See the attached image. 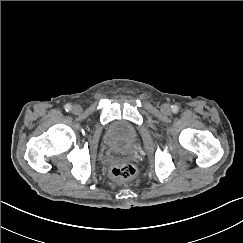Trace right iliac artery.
<instances>
[{
  "label": "right iliac artery",
  "mask_w": 243,
  "mask_h": 243,
  "mask_svg": "<svg viewBox=\"0 0 243 243\" xmlns=\"http://www.w3.org/2000/svg\"><path fill=\"white\" fill-rule=\"evenodd\" d=\"M64 108H65V110H66L67 112H69V111H71V108H72V107H71L70 104H66Z\"/></svg>",
  "instance_id": "82829eb1"
}]
</instances>
